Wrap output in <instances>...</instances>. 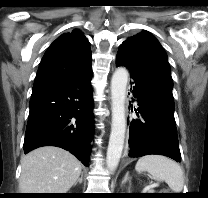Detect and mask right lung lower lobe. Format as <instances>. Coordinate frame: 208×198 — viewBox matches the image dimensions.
Masks as SVG:
<instances>
[{
	"mask_svg": "<svg viewBox=\"0 0 208 198\" xmlns=\"http://www.w3.org/2000/svg\"><path fill=\"white\" fill-rule=\"evenodd\" d=\"M89 70L62 87L32 94L23 149L61 147L88 166L93 138V97Z\"/></svg>",
	"mask_w": 208,
	"mask_h": 198,
	"instance_id": "1",
	"label": "right lung lower lobe"
}]
</instances>
